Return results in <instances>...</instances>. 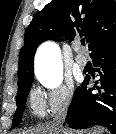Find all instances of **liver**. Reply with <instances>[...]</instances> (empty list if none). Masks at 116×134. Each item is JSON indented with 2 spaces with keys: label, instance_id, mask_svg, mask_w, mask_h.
I'll list each match as a JSON object with an SVG mask.
<instances>
[{
  "label": "liver",
  "instance_id": "6515ba94",
  "mask_svg": "<svg viewBox=\"0 0 116 134\" xmlns=\"http://www.w3.org/2000/svg\"><path fill=\"white\" fill-rule=\"evenodd\" d=\"M102 133H103V129L99 128L96 131H94L92 134H102ZM22 134H73V133L70 130L59 131L54 126H46V127H40V128H37L36 130H31Z\"/></svg>",
  "mask_w": 116,
  "mask_h": 134
}]
</instances>
